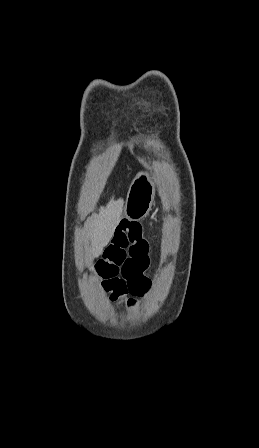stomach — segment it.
<instances>
[{"label":"stomach","instance_id":"obj_1","mask_svg":"<svg viewBox=\"0 0 259 448\" xmlns=\"http://www.w3.org/2000/svg\"><path fill=\"white\" fill-rule=\"evenodd\" d=\"M155 196V184L149 172H139L132 180L126 200L125 216L142 220L148 216Z\"/></svg>","mask_w":259,"mask_h":448}]
</instances>
